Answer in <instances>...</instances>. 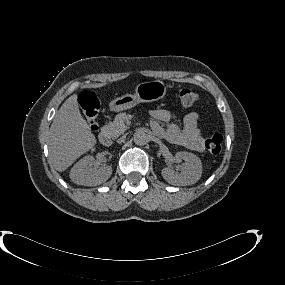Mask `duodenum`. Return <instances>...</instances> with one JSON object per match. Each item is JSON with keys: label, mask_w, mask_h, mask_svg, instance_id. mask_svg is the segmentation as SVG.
I'll return each mask as SVG.
<instances>
[{"label": "duodenum", "mask_w": 285, "mask_h": 285, "mask_svg": "<svg viewBox=\"0 0 285 285\" xmlns=\"http://www.w3.org/2000/svg\"><path fill=\"white\" fill-rule=\"evenodd\" d=\"M99 141L101 144L105 145V146H108L110 145L111 143V138H110V134L109 132L105 131V130H102L100 133H99Z\"/></svg>", "instance_id": "duodenum-1"}]
</instances>
